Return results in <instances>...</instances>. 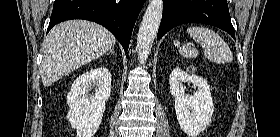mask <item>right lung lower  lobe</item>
Returning <instances> with one entry per match:
<instances>
[{"label":"right lung lower lobe","mask_w":280,"mask_h":137,"mask_svg":"<svg viewBox=\"0 0 280 137\" xmlns=\"http://www.w3.org/2000/svg\"><path fill=\"white\" fill-rule=\"evenodd\" d=\"M144 2L145 0H55L47 32L66 20H90L113 33L126 53Z\"/></svg>","instance_id":"98d812e1"}]
</instances>
